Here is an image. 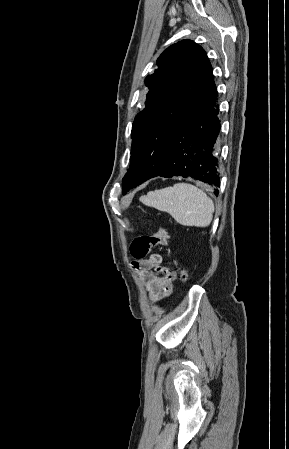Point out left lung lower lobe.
<instances>
[{"mask_svg": "<svg viewBox=\"0 0 289 449\" xmlns=\"http://www.w3.org/2000/svg\"><path fill=\"white\" fill-rule=\"evenodd\" d=\"M216 98L217 89L211 75L189 117L166 138V158L157 176L190 177L213 186L220 185L216 155L220 119ZM214 193L217 195L218 190Z\"/></svg>", "mask_w": 289, "mask_h": 449, "instance_id": "left-lung-lower-lobe-1", "label": "left lung lower lobe"}]
</instances>
